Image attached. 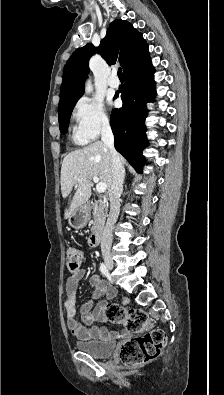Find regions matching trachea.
Instances as JSON below:
<instances>
[{
    "label": "trachea",
    "mask_w": 224,
    "mask_h": 395,
    "mask_svg": "<svg viewBox=\"0 0 224 395\" xmlns=\"http://www.w3.org/2000/svg\"><path fill=\"white\" fill-rule=\"evenodd\" d=\"M118 77L120 79H123V73H122V69L121 68L118 69Z\"/></svg>",
    "instance_id": "obj_1"
}]
</instances>
